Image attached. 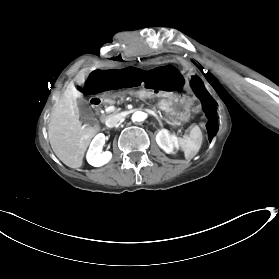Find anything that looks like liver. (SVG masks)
I'll list each match as a JSON object with an SVG mask.
<instances>
[{"instance_id": "6515ba94", "label": "liver", "mask_w": 279, "mask_h": 279, "mask_svg": "<svg viewBox=\"0 0 279 279\" xmlns=\"http://www.w3.org/2000/svg\"><path fill=\"white\" fill-rule=\"evenodd\" d=\"M89 69L82 70L68 85L50 113L48 138L55 155L68 167L80 168L92 138L101 130L82 126L77 100L84 97L75 84L83 85Z\"/></svg>"}]
</instances>
